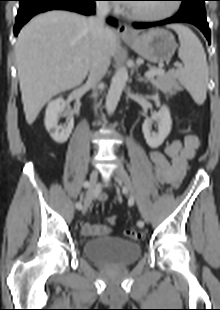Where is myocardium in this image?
Returning a JSON list of instances; mask_svg holds the SVG:
<instances>
[{
	"mask_svg": "<svg viewBox=\"0 0 220 310\" xmlns=\"http://www.w3.org/2000/svg\"><path fill=\"white\" fill-rule=\"evenodd\" d=\"M177 10H178V6L176 4H169L164 12L157 14V15H149V14H144V13L132 11V10L129 11V15L133 19L139 20V21L158 22V21H162V20H165L171 17L177 12Z\"/></svg>",
	"mask_w": 220,
	"mask_h": 310,
	"instance_id": "myocardium-1",
	"label": "myocardium"
}]
</instances>
